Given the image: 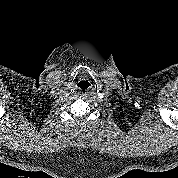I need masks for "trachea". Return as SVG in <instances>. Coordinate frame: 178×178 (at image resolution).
I'll use <instances>...</instances> for the list:
<instances>
[{"instance_id":"3493384b","label":"trachea","mask_w":178,"mask_h":178,"mask_svg":"<svg viewBox=\"0 0 178 178\" xmlns=\"http://www.w3.org/2000/svg\"><path fill=\"white\" fill-rule=\"evenodd\" d=\"M90 83L87 80H81L78 82L77 87L79 90L85 91L90 87Z\"/></svg>"}]
</instances>
